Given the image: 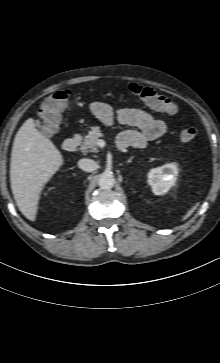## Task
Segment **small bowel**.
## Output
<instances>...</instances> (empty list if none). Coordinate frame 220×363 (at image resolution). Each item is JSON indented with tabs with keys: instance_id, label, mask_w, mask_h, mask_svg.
I'll return each mask as SVG.
<instances>
[{
	"instance_id": "c3829d8e",
	"label": "small bowel",
	"mask_w": 220,
	"mask_h": 363,
	"mask_svg": "<svg viewBox=\"0 0 220 363\" xmlns=\"http://www.w3.org/2000/svg\"><path fill=\"white\" fill-rule=\"evenodd\" d=\"M90 112L105 124L120 123L137 128L127 129L119 134L120 147L143 148L147 142L158 139L167 132V125L163 120L155 118L143 109H112L105 103L94 102L90 105Z\"/></svg>"
}]
</instances>
